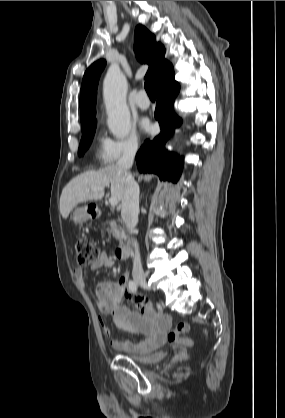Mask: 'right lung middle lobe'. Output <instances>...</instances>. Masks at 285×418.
<instances>
[{"mask_svg": "<svg viewBox=\"0 0 285 418\" xmlns=\"http://www.w3.org/2000/svg\"><path fill=\"white\" fill-rule=\"evenodd\" d=\"M97 121L82 127V138L78 149L79 156L83 155L91 144L93 135L95 133Z\"/></svg>", "mask_w": 285, "mask_h": 418, "instance_id": "obj_1", "label": "right lung middle lobe"}]
</instances>
